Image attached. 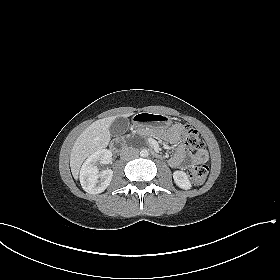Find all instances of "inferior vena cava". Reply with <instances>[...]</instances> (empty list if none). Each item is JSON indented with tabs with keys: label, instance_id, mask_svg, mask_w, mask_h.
<instances>
[{
	"label": "inferior vena cava",
	"instance_id": "obj_1",
	"mask_svg": "<svg viewBox=\"0 0 280 280\" xmlns=\"http://www.w3.org/2000/svg\"><path fill=\"white\" fill-rule=\"evenodd\" d=\"M138 156V150L132 147H127L121 152V158L124 160H130Z\"/></svg>",
	"mask_w": 280,
	"mask_h": 280
}]
</instances>
